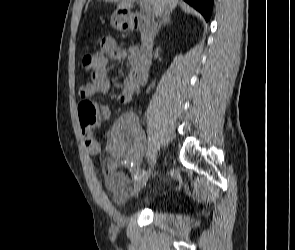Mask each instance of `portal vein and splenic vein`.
<instances>
[{
    "label": "portal vein and splenic vein",
    "instance_id": "18ae733b",
    "mask_svg": "<svg viewBox=\"0 0 295 250\" xmlns=\"http://www.w3.org/2000/svg\"><path fill=\"white\" fill-rule=\"evenodd\" d=\"M141 5H142V7L144 8L145 13H147V14H149V15L152 14V8H151V6H150L149 4H147V3L144 2V1H141Z\"/></svg>",
    "mask_w": 295,
    "mask_h": 250
}]
</instances>
